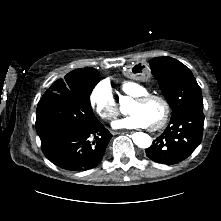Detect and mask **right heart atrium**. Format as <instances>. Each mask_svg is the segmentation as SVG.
<instances>
[{
	"label": "right heart atrium",
	"mask_w": 221,
	"mask_h": 221,
	"mask_svg": "<svg viewBox=\"0 0 221 221\" xmlns=\"http://www.w3.org/2000/svg\"><path fill=\"white\" fill-rule=\"evenodd\" d=\"M90 103L98 116L105 121H110L119 114L118 103L107 82H100L92 89Z\"/></svg>",
	"instance_id": "obj_1"
}]
</instances>
